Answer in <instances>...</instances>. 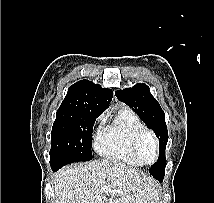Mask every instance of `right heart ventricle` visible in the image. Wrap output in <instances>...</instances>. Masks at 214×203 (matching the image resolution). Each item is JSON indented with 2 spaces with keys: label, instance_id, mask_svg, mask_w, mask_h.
I'll return each instance as SVG.
<instances>
[{
  "label": "right heart ventricle",
  "instance_id": "obj_1",
  "mask_svg": "<svg viewBox=\"0 0 214 203\" xmlns=\"http://www.w3.org/2000/svg\"><path fill=\"white\" fill-rule=\"evenodd\" d=\"M144 128L140 118L131 109L123 107L99 128L95 149L107 159L135 167L143 166L132 151V140Z\"/></svg>",
  "mask_w": 214,
  "mask_h": 203
}]
</instances>
